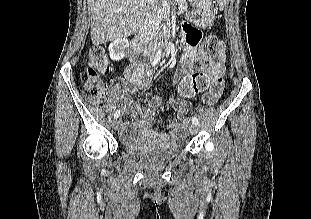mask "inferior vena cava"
Segmentation results:
<instances>
[{"mask_svg":"<svg viewBox=\"0 0 311 219\" xmlns=\"http://www.w3.org/2000/svg\"><path fill=\"white\" fill-rule=\"evenodd\" d=\"M146 2L152 4V3L154 2V0H146ZM148 50H151V46H150V45H149L148 47L145 48V51H148Z\"/></svg>","mask_w":311,"mask_h":219,"instance_id":"inferior-vena-cava-1","label":"inferior vena cava"}]
</instances>
